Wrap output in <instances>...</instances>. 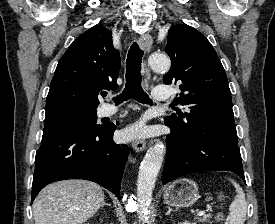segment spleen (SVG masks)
<instances>
[{
	"label": "spleen",
	"mask_w": 275,
	"mask_h": 224,
	"mask_svg": "<svg viewBox=\"0 0 275 224\" xmlns=\"http://www.w3.org/2000/svg\"><path fill=\"white\" fill-rule=\"evenodd\" d=\"M232 184L236 189V196L229 206V215L225 224H244L246 219L247 202L243 189L233 180Z\"/></svg>",
	"instance_id": "obj_1"
}]
</instances>
